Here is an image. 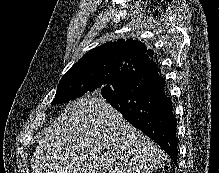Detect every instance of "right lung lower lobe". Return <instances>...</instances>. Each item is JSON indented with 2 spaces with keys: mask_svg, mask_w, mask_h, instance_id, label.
<instances>
[{
  "mask_svg": "<svg viewBox=\"0 0 219 173\" xmlns=\"http://www.w3.org/2000/svg\"><path fill=\"white\" fill-rule=\"evenodd\" d=\"M164 80L153 61L126 74L102 96L134 127L154 140L177 165V120L172 101L164 93Z\"/></svg>",
  "mask_w": 219,
  "mask_h": 173,
  "instance_id": "1",
  "label": "right lung lower lobe"
}]
</instances>
